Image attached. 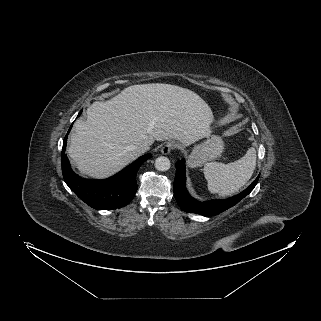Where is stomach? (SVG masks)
Returning a JSON list of instances; mask_svg holds the SVG:
<instances>
[{"mask_svg": "<svg viewBox=\"0 0 321 321\" xmlns=\"http://www.w3.org/2000/svg\"><path fill=\"white\" fill-rule=\"evenodd\" d=\"M224 151V142L219 136H207V139L195 145L188 157L190 167L202 166L208 161L217 159Z\"/></svg>", "mask_w": 321, "mask_h": 321, "instance_id": "1", "label": "stomach"}]
</instances>
